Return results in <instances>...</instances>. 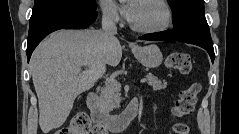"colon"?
<instances>
[{"mask_svg":"<svg viewBox=\"0 0 239 134\" xmlns=\"http://www.w3.org/2000/svg\"><path fill=\"white\" fill-rule=\"evenodd\" d=\"M166 66L171 70L187 74L192 69V61L188 54L178 52L169 55ZM200 86L191 84L183 90L172 107L171 113L176 118H183L193 113L197 103ZM175 134H189V127L184 123H175L172 127ZM102 126L94 124L85 112H77L68 126L63 127L55 134H105Z\"/></svg>","mask_w":239,"mask_h":134,"instance_id":"obj_1","label":"colon"}]
</instances>
